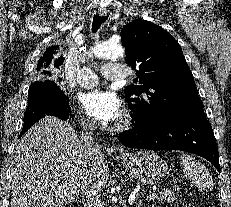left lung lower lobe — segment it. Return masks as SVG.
<instances>
[{"label": "left lung lower lobe", "instance_id": "1", "mask_svg": "<svg viewBox=\"0 0 231 207\" xmlns=\"http://www.w3.org/2000/svg\"><path fill=\"white\" fill-rule=\"evenodd\" d=\"M133 122L132 129L119 135L125 146L194 153L210 161L220 172L216 139L203 107L176 113L155 124Z\"/></svg>", "mask_w": 231, "mask_h": 207}]
</instances>
